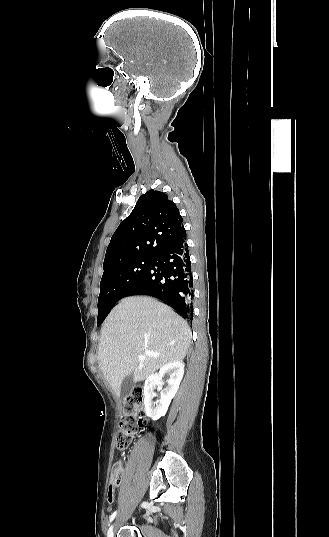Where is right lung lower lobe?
Returning a JSON list of instances; mask_svg holds the SVG:
<instances>
[{"label": "right lung lower lobe", "instance_id": "right-lung-lower-lobe-1", "mask_svg": "<svg viewBox=\"0 0 329 537\" xmlns=\"http://www.w3.org/2000/svg\"><path fill=\"white\" fill-rule=\"evenodd\" d=\"M132 295L159 298L182 317H191L194 292L186 231L152 258L145 273L125 297Z\"/></svg>", "mask_w": 329, "mask_h": 537}]
</instances>
